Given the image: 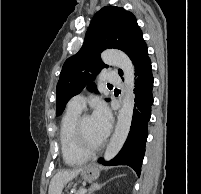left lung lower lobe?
Returning a JSON list of instances; mask_svg holds the SVG:
<instances>
[{
    "label": "left lung lower lobe",
    "instance_id": "0a47b994",
    "mask_svg": "<svg viewBox=\"0 0 201 194\" xmlns=\"http://www.w3.org/2000/svg\"><path fill=\"white\" fill-rule=\"evenodd\" d=\"M135 65V104L133 119L126 142L120 152L109 162L100 160L104 165H128L140 176L141 165L145 153V144L148 136V121L153 104L152 66L148 57L147 45L142 39L132 58Z\"/></svg>",
    "mask_w": 201,
    "mask_h": 194
}]
</instances>
